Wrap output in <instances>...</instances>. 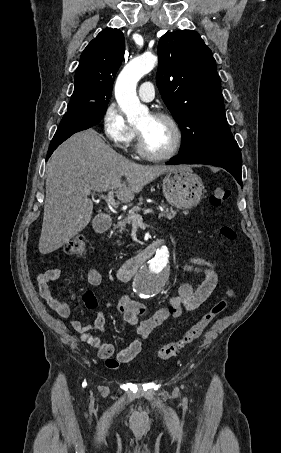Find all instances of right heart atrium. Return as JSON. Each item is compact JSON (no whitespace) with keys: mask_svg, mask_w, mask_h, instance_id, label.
I'll return each instance as SVG.
<instances>
[{"mask_svg":"<svg viewBox=\"0 0 281 453\" xmlns=\"http://www.w3.org/2000/svg\"><path fill=\"white\" fill-rule=\"evenodd\" d=\"M127 98L129 94V84L125 82L119 87L116 84V95ZM102 126L107 137L118 148L124 147L135 136L136 130L124 117L123 113L115 104L107 106L102 114ZM112 166L116 172H121L123 168V157L117 152L111 153Z\"/></svg>","mask_w":281,"mask_h":453,"instance_id":"d8ad5b80","label":"right heart atrium"}]
</instances>
